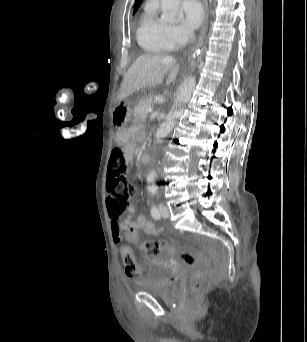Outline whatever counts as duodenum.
<instances>
[{
  "label": "duodenum",
  "mask_w": 307,
  "mask_h": 342,
  "mask_svg": "<svg viewBox=\"0 0 307 342\" xmlns=\"http://www.w3.org/2000/svg\"><path fill=\"white\" fill-rule=\"evenodd\" d=\"M149 160V157L146 155V153H142L141 157H140V161L142 163V165H145Z\"/></svg>",
  "instance_id": "obj_1"
}]
</instances>
